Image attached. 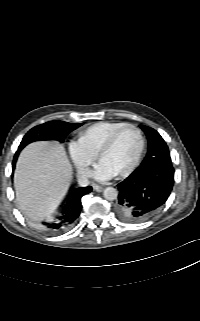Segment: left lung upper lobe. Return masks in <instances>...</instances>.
<instances>
[{"label": "left lung upper lobe", "instance_id": "1", "mask_svg": "<svg viewBox=\"0 0 200 321\" xmlns=\"http://www.w3.org/2000/svg\"><path fill=\"white\" fill-rule=\"evenodd\" d=\"M148 139V152L141 165L151 164H172L169 149L160 136L153 128L140 125Z\"/></svg>", "mask_w": 200, "mask_h": 321}]
</instances>
